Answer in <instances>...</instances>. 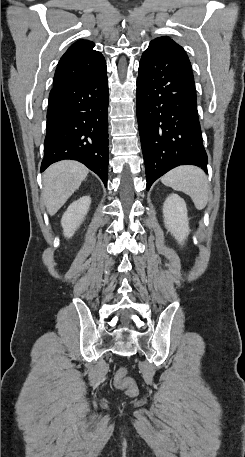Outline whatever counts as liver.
<instances>
[{"instance_id":"6515ba94","label":"liver","mask_w":245,"mask_h":457,"mask_svg":"<svg viewBox=\"0 0 245 457\" xmlns=\"http://www.w3.org/2000/svg\"><path fill=\"white\" fill-rule=\"evenodd\" d=\"M89 170L77 160H60L43 174L42 200L49 214H55L86 178Z\"/></svg>"}]
</instances>
